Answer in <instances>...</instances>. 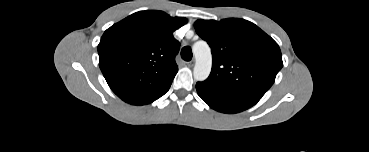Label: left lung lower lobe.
<instances>
[{
	"mask_svg": "<svg viewBox=\"0 0 369 152\" xmlns=\"http://www.w3.org/2000/svg\"><path fill=\"white\" fill-rule=\"evenodd\" d=\"M198 95L212 109L223 113H238L255 105L260 97L243 93L230 91L207 81L196 84Z\"/></svg>",
	"mask_w": 369,
	"mask_h": 152,
	"instance_id": "1",
	"label": "left lung lower lobe"
}]
</instances>
